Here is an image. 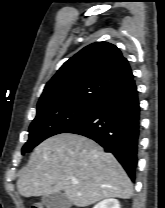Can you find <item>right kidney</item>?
Returning <instances> with one entry per match:
<instances>
[{
  "instance_id": "1",
  "label": "right kidney",
  "mask_w": 165,
  "mask_h": 208,
  "mask_svg": "<svg viewBox=\"0 0 165 208\" xmlns=\"http://www.w3.org/2000/svg\"><path fill=\"white\" fill-rule=\"evenodd\" d=\"M93 208H121V207L117 199L109 198L99 202Z\"/></svg>"
}]
</instances>
